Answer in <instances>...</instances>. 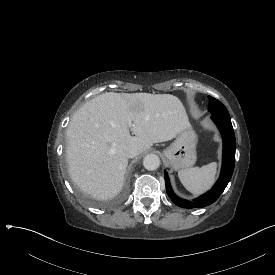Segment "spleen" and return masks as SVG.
I'll return each instance as SVG.
<instances>
[{"label": "spleen", "instance_id": "spleen-1", "mask_svg": "<svg viewBox=\"0 0 275 275\" xmlns=\"http://www.w3.org/2000/svg\"><path fill=\"white\" fill-rule=\"evenodd\" d=\"M218 163L212 162L200 169L193 168L178 173L179 179L186 190L195 196L209 191L216 182Z\"/></svg>", "mask_w": 275, "mask_h": 275}]
</instances>
